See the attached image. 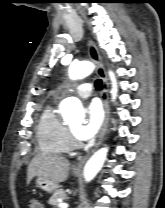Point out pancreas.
<instances>
[{"label":"pancreas","mask_w":165,"mask_h":208,"mask_svg":"<svg viewBox=\"0 0 165 208\" xmlns=\"http://www.w3.org/2000/svg\"><path fill=\"white\" fill-rule=\"evenodd\" d=\"M65 198H66L65 191L62 189H58L50 197L48 203L55 208L60 204L59 199H65Z\"/></svg>","instance_id":"pancreas-1"}]
</instances>
